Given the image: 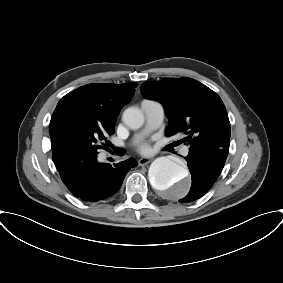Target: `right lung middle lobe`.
I'll return each mask as SVG.
<instances>
[{
    "label": "right lung middle lobe",
    "instance_id": "1",
    "mask_svg": "<svg viewBox=\"0 0 283 283\" xmlns=\"http://www.w3.org/2000/svg\"><path fill=\"white\" fill-rule=\"evenodd\" d=\"M54 131L60 142L52 157L54 162L62 164L84 152L98 153L100 149H107L111 146L107 138L114 133V129H108L97 120L74 111L67 112Z\"/></svg>",
    "mask_w": 283,
    "mask_h": 283
}]
</instances>
